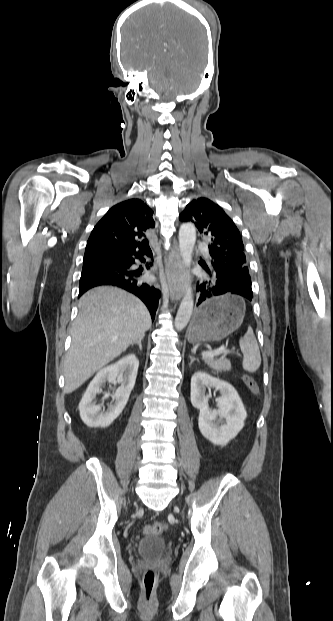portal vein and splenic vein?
I'll use <instances>...</instances> for the list:
<instances>
[{
	"mask_svg": "<svg viewBox=\"0 0 333 621\" xmlns=\"http://www.w3.org/2000/svg\"><path fill=\"white\" fill-rule=\"evenodd\" d=\"M231 352L232 351L227 350L224 346H222V347H220V348H218L216 350H213V351H204V352H202L201 355H202L203 358H206V357H214V356H217L219 354H228V353H231Z\"/></svg>",
	"mask_w": 333,
	"mask_h": 621,
	"instance_id": "obj_1",
	"label": "portal vein and splenic vein"
}]
</instances>
